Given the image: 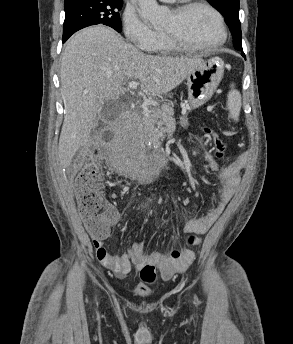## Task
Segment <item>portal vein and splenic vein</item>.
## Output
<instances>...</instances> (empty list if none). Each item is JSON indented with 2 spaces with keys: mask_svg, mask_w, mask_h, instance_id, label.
<instances>
[{
  "mask_svg": "<svg viewBox=\"0 0 293 344\" xmlns=\"http://www.w3.org/2000/svg\"><path fill=\"white\" fill-rule=\"evenodd\" d=\"M137 85H138L137 82H135V81H130V82L128 83V88H130V89H136V88H137Z\"/></svg>",
  "mask_w": 293,
  "mask_h": 344,
  "instance_id": "portal-vein-and-splenic-vein-1",
  "label": "portal vein and splenic vein"
}]
</instances>
